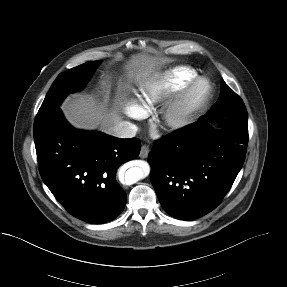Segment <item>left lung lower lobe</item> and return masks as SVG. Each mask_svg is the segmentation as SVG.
<instances>
[{
  "label": "left lung lower lobe",
  "mask_w": 287,
  "mask_h": 287,
  "mask_svg": "<svg viewBox=\"0 0 287 287\" xmlns=\"http://www.w3.org/2000/svg\"><path fill=\"white\" fill-rule=\"evenodd\" d=\"M247 144L248 128L216 133L203 117L155 141L149 163L162 208L180 220L215 209L243 166Z\"/></svg>",
  "instance_id": "0a47b994"
}]
</instances>
